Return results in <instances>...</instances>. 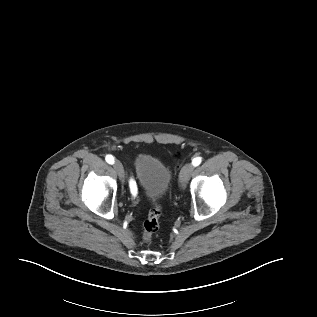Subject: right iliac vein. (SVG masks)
<instances>
[{
    "label": "right iliac vein",
    "mask_w": 317,
    "mask_h": 317,
    "mask_svg": "<svg viewBox=\"0 0 317 317\" xmlns=\"http://www.w3.org/2000/svg\"><path fill=\"white\" fill-rule=\"evenodd\" d=\"M113 168L116 171V173L118 174L120 180L122 182H124L125 174H124V169H123V166H122L121 162L120 161H115L114 164H113Z\"/></svg>",
    "instance_id": "1"
}]
</instances>
